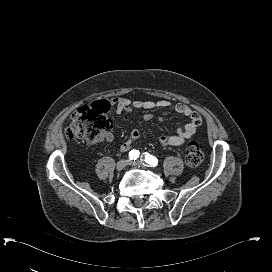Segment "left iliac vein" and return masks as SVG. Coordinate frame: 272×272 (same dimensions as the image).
Wrapping results in <instances>:
<instances>
[{
  "label": "left iliac vein",
  "mask_w": 272,
  "mask_h": 272,
  "mask_svg": "<svg viewBox=\"0 0 272 272\" xmlns=\"http://www.w3.org/2000/svg\"><path fill=\"white\" fill-rule=\"evenodd\" d=\"M130 164L133 166H148L146 163H144L140 160L130 161Z\"/></svg>",
  "instance_id": "obj_1"
}]
</instances>
